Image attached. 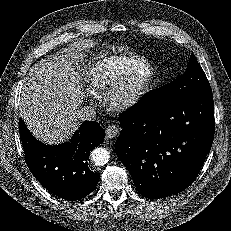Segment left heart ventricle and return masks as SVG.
Returning <instances> with one entry per match:
<instances>
[{
  "mask_svg": "<svg viewBox=\"0 0 231 231\" xmlns=\"http://www.w3.org/2000/svg\"><path fill=\"white\" fill-rule=\"evenodd\" d=\"M147 76V70L143 69L141 70L133 79V86H137L138 84H140L141 82H143L145 80Z\"/></svg>",
  "mask_w": 231,
  "mask_h": 231,
  "instance_id": "obj_1",
  "label": "left heart ventricle"
}]
</instances>
